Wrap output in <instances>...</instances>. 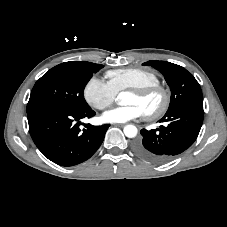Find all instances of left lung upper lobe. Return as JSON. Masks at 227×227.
<instances>
[{
    "mask_svg": "<svg viewBox=\"0 0 227 227\" xmlns=\"http://www.w3.org/2000/svg\"><path fill=\"white\" fill-rule=\"evenodd\" d=\"M145 66H152L160 71L171 89V100L167 112L195 106L203 108V96L199 83L185 68L166 61H148Z\"/></svg>",
    "mask_w": 227,
    "mask_h": 227,
    "instance_id": "1",
    "label": "left lung upper lobe"
}]
</instances>
